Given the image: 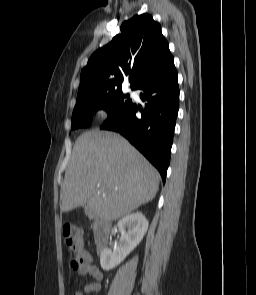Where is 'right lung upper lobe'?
Instances as JSON below:
<instances>
[{
	"instance_id": "right-lung-upper-lobe-1",
	"label": "right lung upper lobe",
	"mask_w": 256,
	"mask_h": 295,
	"mask_svg": "<svg viewBox=\"0 0 256 295\" xmlns=\"http://www.w3.org/2000/svg\"><path fill=\"white\" fill-rule=\"evenodd\" d=\"M171 56L161 26L151 15H136L121 25V34L92 54L81 72L77 100L123 94L127 75L131 88L136 89Z\"/></svg>"
}]
</instances>
